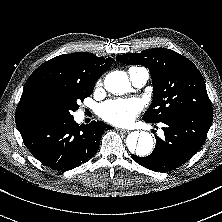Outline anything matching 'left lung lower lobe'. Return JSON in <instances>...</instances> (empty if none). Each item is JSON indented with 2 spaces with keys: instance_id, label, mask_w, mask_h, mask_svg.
<instances>
[{
  "instance_id": "0a47b994",
  "label": "left lung lower lobe",
  "mask_w": 222,
  "mask_h": 222,
  "mask_svg": "<svg viewBox=\"0 0 222 222\" xmlns=\"http://www.w3.org/2000/svg\"><path fill=\"white\" fill-rule=\"evenodd\" d=\"M213 115L188 112L172 115L163 121L165 139L156 136V146L147 157L131 155L141 166L156 172L172 171L196 154L206 140Z\"/></svg>"
}]
</instances>
